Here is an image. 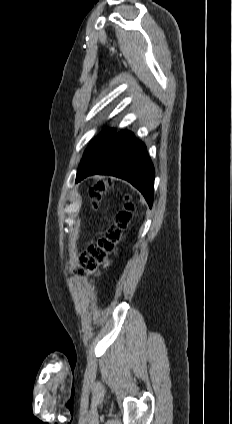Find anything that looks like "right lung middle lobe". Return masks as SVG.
Here are the masks:
<instances>
[{
	"mask_svg": "<svg viewBox=\"0 0 232 424\" xmlns=\"http://www.w3.org/2000/svg\"><path fill=\"white\" fill-rule=\"evenodd\" d=\"M113 133H114L113 129H106L88 145L84 153V156L81 160L80 166L78 168L77 175H80L85 170V168L89 165V163L102 150V148L111 138Z\"/></svg>",
	"mask_w": 232,
	"mask_h": 424,
	"instance_id": "obj_1",
	"label": "right lung middle lobe"
}]
</instances>
